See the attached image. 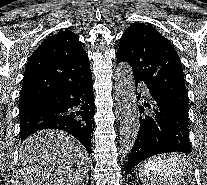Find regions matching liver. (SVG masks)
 Here are the masks:
<instances>
[{
  "label": "liver",
  "mask_w": 207,
  "mask_h": 185,
  "mask_svg": "<svg viewBox=\"0 0 207 185\" xmlns=\"http://www.w3.org/2000/svg\"><path fill=\"white\" fill-rule=\"evenodd\" d=\"M89 163L85 147L72 135L44 129L25 139L12 185H81Z\"/></svg>",
  "instance_id": "6515ba94"
}]
</instances>
